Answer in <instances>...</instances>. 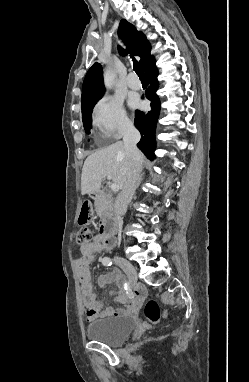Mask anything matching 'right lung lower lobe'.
Here are the masks:
<instances>
[{
	"instance_id": "1",
	"label": "right lung lower lobe",
	"mask_w": 249,
	"mask_h": 382,
	"mask_svg": "<svg viewBox=\"0 0 249 382\" xmlns=\"http://www.w3.org/2000/svg\"><path fill=\"white\" fill-rule=\"evenodd\" d=\"M148 79L150 81V86L146 90V98L151 101L152 110L148 113L141 112L137 110L135 112V120L134 124L136 128L141 133V140L137 144L138 148L150 159L154 160V150L156 146L155 142V128L156 122L158 119L159 111H160V101L156 94V90L158 89V70L155 66V59L153 58L144 68Z\"/></svg>"
}]
</instances>
